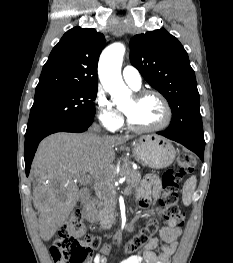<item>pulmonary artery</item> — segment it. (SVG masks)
<instances>
[{"instance_id":"obj_1","label":"pulmonary artery","mask_w":233,"mask_h":263,"mask_svg":"<svg viewBox=\"0 0 233 263\" xmlns=\"http://www.w3.org/2000/svg\"><path fill=\"white\" fill-rule=\"evenodd\" d=\"M124 81L134 90L141 87L142 78L140 72L133 66L127 65L122 70Z\"/></svg>"}]
</instances>
